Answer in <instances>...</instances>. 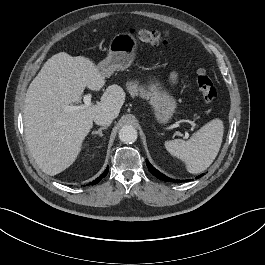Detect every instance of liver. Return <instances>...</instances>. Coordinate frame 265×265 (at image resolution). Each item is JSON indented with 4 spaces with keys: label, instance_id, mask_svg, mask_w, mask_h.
I'll use <instances>...</instances> for the list:
<instances>
[{
    "label": "liver",
    "instance_id": "liver-1",
    "mask_svg": "<svg viewBox=\"0 0 265 265\" xmlns=\"http://www.w3.org/2000/svg\"><path fill=\"white\" fill-rule=\"evenodd\" d=\"M105 78L89 58L60 52L45 62L30 83L24 104L25 137L44 173L56 175L74 163L98 113L119 115L125 93L118 85L109 86L95 105L65 110L81 101L85 87L99 91Z\"/></svg>",
    "mask_w": 265,
    "mask_h": 265
}]
</instances>
